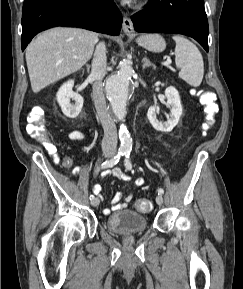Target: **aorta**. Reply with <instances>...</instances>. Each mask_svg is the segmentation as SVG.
I'll return each mask as SVG.
<instances>
[{
	"instance_id": "1",
	"label": "aorta",
	"mask_w": 243,
	"mask_h": 289,
	"mask_svg": "<svg viewBox=\"0 0 243 289\" xmlns=\"http://www.w3.org/2000/svg\"><path fill=\"white\" fill-rule=\"evenodd\" d=\"M134 70L130 63L122 62L118 72L111 75L106 81V95L109 99L112 112L118 120H123L127 114L126 105L129 96V87ZM121 145L119 151L130 152L132 149V139L127 128L121 125L119 130Z\"/></svg>"
}]
</instances>
